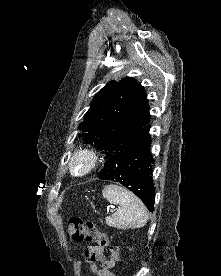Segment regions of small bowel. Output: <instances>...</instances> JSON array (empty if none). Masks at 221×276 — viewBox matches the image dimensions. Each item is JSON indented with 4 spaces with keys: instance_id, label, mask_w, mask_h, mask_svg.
I'll list each match as a JSON object with an SVG mask.
<instances>
[{
    "instance_id": "small-bowel-1",
    "label": "small bowel",
    "mask_w": 221,
    "mask_h": 276,
    "mask_svg": "<svg viewBox=\"0 0 221 276\" xmlns=\"http://www.w3.org/2000/svg\"><path fill=\"white\" fill-rule=\"evenodd\" d=\"M85 256L90 265L91 271L97 276H115L110 268L106 266L109 261L104 253V249L98 247L97 245L90 246L86 252Z\"/></svg>"
}]
</instances>
